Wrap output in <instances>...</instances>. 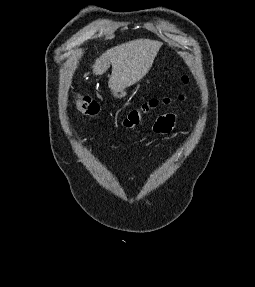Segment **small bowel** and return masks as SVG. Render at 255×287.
<instances>
[{"instance_id": "1", "label": "small bowel", "mask_w": 255, "mask_h": 287, "mask_svg": "<svg viewBox=\"0 0 255 287\" xmlns=\"http://www.w3.org/2000/svg\"><path fill=\"white\" fill-rule=\"evenodd\" d=\"M174 124H175V116L168 114L165 116H161L156 120L153 126V130L157 134H166L173 129Z\"/></svg>"}]
</instances>
